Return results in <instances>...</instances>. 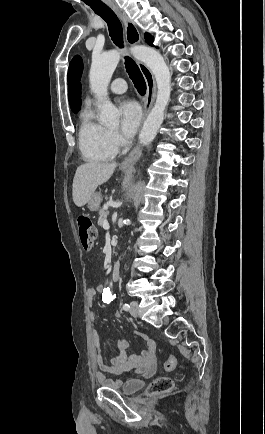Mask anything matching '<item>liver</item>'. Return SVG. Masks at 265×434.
<instances>
[{"instance_id": "obj_1", "label": "liver", "mask_w": 265, "mask_h": 434, "mask_svg": "<svg viewBox=\"0 0 265 434\" xmlns=\"http://www.w3.org/2000/svg\"><path fill=\"white\" fill-rule=\"evenodd\" d=\"M116 166V162L112 164H100V162H89V164H82L76 170L73 180V202L81 208L89 202L92 194L96 188L107 182L111 178Z\"/></svg>"}]
</instances>
